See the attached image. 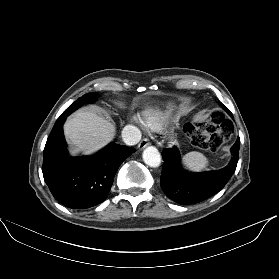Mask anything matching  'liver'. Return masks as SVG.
<instances>
[{
    "label": "liver",
    "mask_w": 279,
    "mask_h": 279,
    "mask_svg": "<svg viewBox=\"0 0 279 279\" xmlns=\"http://www.w3.org/2000/svg\"><path fill=\"white\" fill-rule=\"evenodd\" d=\"M65 135L74 145V153L92 154L109 144L115 126L96 110L79 111L64 125Z\"/></svg>",
    "instance_id": "1"
}]
</instances>
